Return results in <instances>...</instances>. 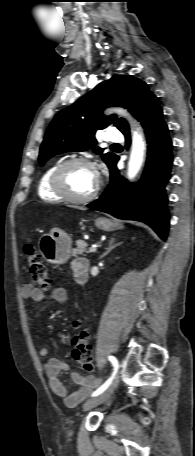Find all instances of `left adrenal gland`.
<instances>
[{"label":"left adrenal gland","mask_w":195,"mask_h":456,"mask_svg":"<svg viewBox=\"0 0 195 456\" xmlns=\"http://www.w3.org/2000/svg\"><path fill=\"white\" fill-rule=\"evenodd\" d=\"M115 238H111L109 240V243H108V247L105 249V252L99 257V259L105 257L106 255H108L114 248H116L117 246L121 245L122 242L120 243H115Z\"/></svg>","instance_id":"obj_1"}]
</instances>
